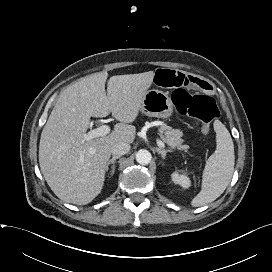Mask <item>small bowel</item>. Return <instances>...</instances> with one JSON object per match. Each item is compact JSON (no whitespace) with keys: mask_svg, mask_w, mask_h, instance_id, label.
<instances>
[{"mask_svg":"<svg viewBox=\"0 0 272 272\" xmlns=\"http://www.w3.org/2000/svg\"><path fill=\"white\" fill-rule=\"evenodd\" d=\"M154 79L159 86L164 88L180 87L196 90L210 89V84L208 82L172 69L156 70Z\"/></svg>","mask_w":272,"mask_h":272,"instance_id":"obj_1","label":"small bowel"}]
</instances>
